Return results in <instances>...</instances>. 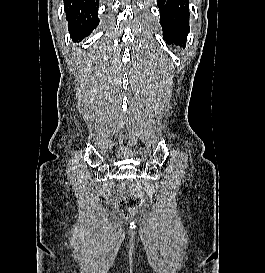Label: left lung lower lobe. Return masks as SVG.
<instances>
[{
    "instance_id": "obj_1",
    "label": "left lung lower lobe",
    "mask_w": 265,
    "mask_h": 273,
    "mask_svg": "<svg viewBox=\"0 0 265 273\" xmlns=\"http://www.w3.org/2000/svg\"><path fill=\"white\" fill-rule=\"evenodd\" d=\"M163 39L172 45L185 47L189 33L188 0H157Z\"/></svg>"
}]
</instances>
